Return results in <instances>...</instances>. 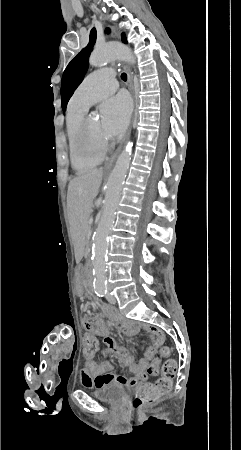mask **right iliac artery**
Wrapping results in <instances>:
<instances>
[{"label":"right iliac artery","mask_w":241,"mask_h":450,"mask_svg":"<svg viewBox=\"0 0 241 450\" xmlns=\"http://www.w3.org/2000/svg\"><path fill=\"white\" fill-rule=\"evenodd\" d=\"M107 293V287L106 286H100L98 288H96V294L99 297H104Z\"/></svg>","instance_id":"obj_1"}]
</instances>
